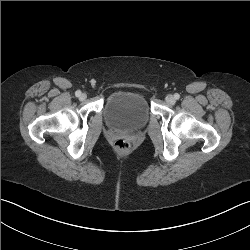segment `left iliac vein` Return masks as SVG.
<instances>
[{
    "mask_svg": "<svg viewBox=\"0 0 250 250\" xmlns=\"http://www.w3.org/2000/svg\"><path fill=\"white\" fill-rule=\"evenodd\" d=\"M165 100H166V102H167L168 104H172V105H173V104L175 103V98H174V96L171 95V94H168V95L166 96Z\"/></svg>",
    "mask_w": 250,
    "mask_h": 250,
    "instance_id": "obj_1",
    "label": "left iliac vein"
}]
</instances>
